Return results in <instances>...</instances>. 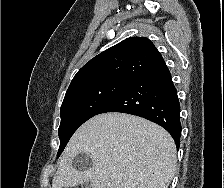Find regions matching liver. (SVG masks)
<instances>
[{
	"instance_id": "6515ba94",
	"label": "liver",
	"mask_w": 224,
	"mask_h": 188,
	"mask_svg": "<svg viewBox=\"0 0 224 188\" xmlns=\"http://www.w3.org/2000/svg\"><path fill=\"white\" fill-rule=\"evenodd\" d=\"M87 154L92 167L73 159ZM176 146L161 126L138 116L105 113L85 122L66 146L52 188H168L175 174Z\"/></svg>"
}]
</instances>
